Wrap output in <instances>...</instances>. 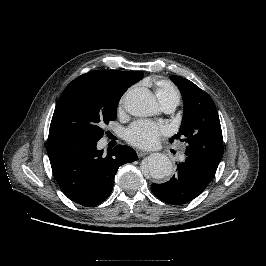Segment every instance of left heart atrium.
Here are the masks:
<instances>
[{
  "mask_svg": "<svg viewBox=\"0 0 266 266\" xmlns=\"http://www.w3.org/2000/svg\"><path fill=\"white\" fill-rule=\"evenodd\" d=\"M166 133L164 126L147 120L134 122L125 131L126 140L137 147L149 148L154 146L159 137Z\"/></svg>",
  "mask_w": 266,
  "mask_h": 266,
  "instance_id": "1",
  "label": "left heart atrium"
}]
</instances>
